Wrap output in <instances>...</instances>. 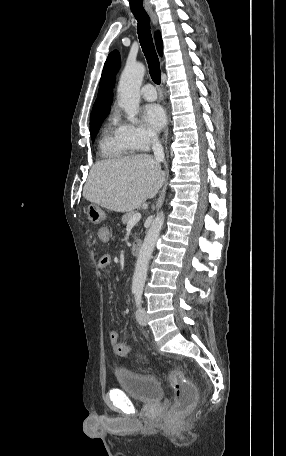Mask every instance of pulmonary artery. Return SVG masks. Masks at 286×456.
<instances>
[{"label":"pulmonary artery","mask_w":286,"mask_h":456,"mask_svg":"<svg viewBox=\"0 0 286 456\" xmlns=\"http://www.w3.org/2000/svg\"><path fill=\"white\" fill-rule=\"evenodd\" d=\"M141 96L146 101H154V100H156L157 93H156V90H155L154 86L152 84H145L141 88Z\"/></svg>","instance_id":"1"}]
</instances>
